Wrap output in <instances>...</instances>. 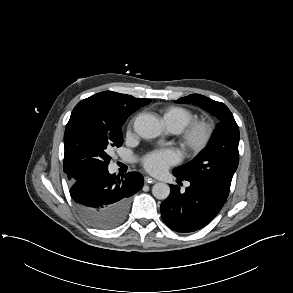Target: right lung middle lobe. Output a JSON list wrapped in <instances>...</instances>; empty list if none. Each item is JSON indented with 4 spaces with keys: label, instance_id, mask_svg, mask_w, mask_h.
<instances>
[{
    "label": "right lung middle lobe",
    "instance_id": "obj_1",
    "mask_svg": "<svg viewBox=\"0 0 293 293\" xmlns=\"http://www.w3.org/2000/svg\"><path fill=\"white\" fill-rule=\"evenodd\" d=\"M135 110L115 105L98 94L76 105L64 134V171L69 179L75 181L92 170L108 168L111 160L108 151L122 146V125ZM82 217L102 229L114 228L123 220L116 214Z\"/></svg>",
    "mask_w": 293,
    "mask_h": 293
}]
</instances>
